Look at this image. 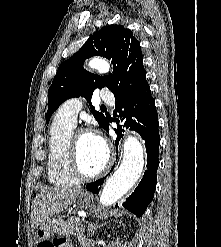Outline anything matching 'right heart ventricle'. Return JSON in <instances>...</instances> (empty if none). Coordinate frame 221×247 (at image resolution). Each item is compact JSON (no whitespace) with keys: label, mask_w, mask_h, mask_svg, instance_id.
Masks as SVG:
<instances>
[{"label":"right heart ventricle","mask_w":221,"mask_h":247,"mask_svg":"<svg viewBox=\"0 0 221 247\" xmlns=\"http://www.w3.org/2000/svg\"><path fill=\"white\" fill-rule=\"evenodd\" d=\"M73 126L56 117L52 123L47 155V176L55 186H73L79 179L73 174L69 161V143Z\"/></svg>","instance_id":"right-heart-ventricle-1"}]
</instances>
